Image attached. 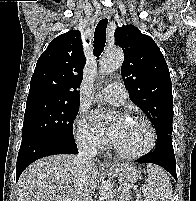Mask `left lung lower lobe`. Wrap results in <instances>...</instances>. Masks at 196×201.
Wrapping results in <instances>:
<instances>
[{"label": "left lung lower lobe", "instance_id": "obj_1", "mask_svg": "<svg viewBox=\"0 0 196 201\" xmlns=\"http://www.w3.org/2000/svg\"><path fill=\"white\" fill-rule=\"evenodd\" d=\"M138 163H152L166 169L177 181L176 160L171 142V135L157 138V145L153 153L144 155Z\"/></svg>", "mask_w": 196, "mask_h": 201}]
</instances>
